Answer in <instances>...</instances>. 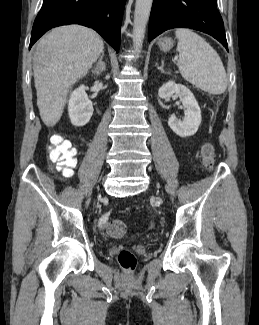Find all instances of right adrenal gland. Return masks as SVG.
<instances>
[{
  "instance_id": "1",
  "label": "right adrenal gland",
  "mask_w": 259,
  "mask_h": 325,
  "mask_svg": "<svg viewBox=\"0 0 259 325\" xmlns=\"http://www.w3.org/2000/svg\"><path fill=\"white\" fill-rule=\"evenodd\" d=\"M103 57H104V52H102L97 64H96V67L92 70V73L96 76H99L101 75L104 71H106V64L105 62L103 61Z\"/></svg>"
}]
</instances>
